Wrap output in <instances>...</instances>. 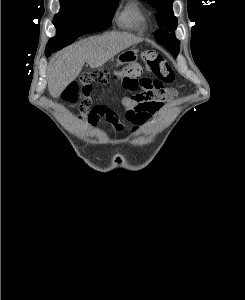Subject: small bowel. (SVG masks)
I'll use <instances>...</instances> for the list:
<instances>
[{
	"label": "small bowel",
	"mask_w": 245,
	"mask_h": 300,
	"mask_svg": "<svg viewBox=\"0 0 245 300\" xmlns=\"http://www.w3.org/2000/svg\"><path fill=\"white\" fill-rule=\"evenodd\" d=\"M131 96L124 97L121 100L125 110V116L128 121L133 124L132 133H136L142 125L146 124L152 117L163 107V100L155 97L151 80L141 78L137 83V87ZM82 117L87 126L91 129L95 128L101 117L112 125L117 133L124 131L118 114L105 104L92 105L91 101L86 97L81 105Z\"/></svg>",
	"instance_id": "obj_1"
}]
</instances>
